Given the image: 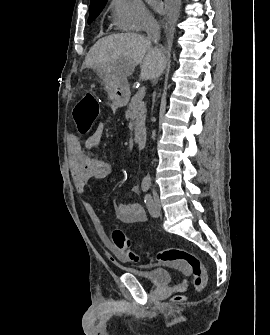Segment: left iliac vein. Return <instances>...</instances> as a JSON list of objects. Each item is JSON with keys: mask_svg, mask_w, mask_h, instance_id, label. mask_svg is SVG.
I'll list each match as a JSON object with an SVG mask.
<instances>
[{"mask_svg": "<svg viewBox=\"0 0 270 335\" xmlns=\"http://www.w3.org/2000/svg\"><path fill=\"white\" fill-rule=\"evenodd\" d=\"M153 203L155 206V213H154V217H157L160 215V200H159V196L156 192L153 193Z\"/></svg>", "mask_w": 270, "mask_h": 335, "instance_id": "4c4485c4", "label": "left iliac vein"}]
</instances>
